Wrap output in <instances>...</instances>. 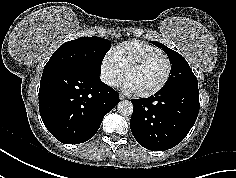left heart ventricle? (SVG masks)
Listing matches in <instances>:
<instances>
[{
	"label": "left heart ventricle",
	"instance_id": "b2bd125f",
	"mask_svg": "<svg viewBox=\"0 0 236 178\" xmlns=\"http://www.w3.org/2000/svg\"><path fill=\"white\" fill-rule=\"evenodd\" d=\"M167 72L166 60L159 56L132 70L125 78V85L132 91L144 92L156 87Z\"/></svg>",
	"mask_w": 236,
	"mask_h": 178
}]
</instances>
